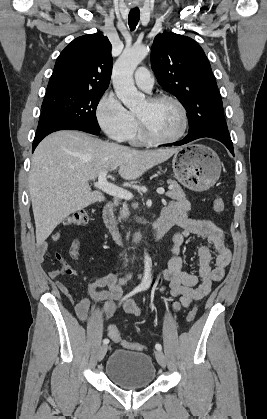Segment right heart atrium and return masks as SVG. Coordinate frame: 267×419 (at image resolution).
<instances>
[{"label":"right heart atrium","mask_w":267,"mask_h":419,"mask_svg":"<svg viewBox=\"0 0 267 419\" xmlns=\"http://www.w3.org/2000/svg\"><path fill=\"white\" fill-rule=\"evenodd\" d=\"M100 128L113 140H128L135 127V118L120 100L110 92L105 93L96 107Z\"/></svg>","instance_id":"right-heart-atrium-1"}]
</instances>
